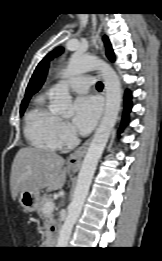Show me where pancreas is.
<instances>
[{
  "label": "pancreas",
  "mask_w": 162,
  "mask_h": 261,
  "mask_svg": "<svg viewBox=\"0 0 162 261\" xmlns=\"http://www.w3.org/2000/svg\"><path fill=\"white\" fill-rule=\"evenodd\" d=\"M52 201L51 197L47 194H44L41 198V201L39 202V206L37 208V213L40 216V218L43 220L44 223V232L42 235V240L44 244L50 242V238L53 235V232L51 231V227L56 224V220L53 217L52 213H45L44 212V206L47 202Z\"/></svg>",
  "instance_id": "pancreas-1"
}]
</instances>
